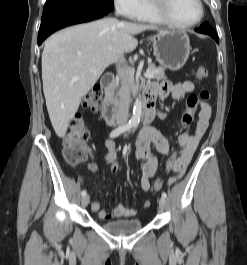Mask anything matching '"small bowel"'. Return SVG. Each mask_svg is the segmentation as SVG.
I'll use <instances>...</instances> for the list:
<instances>
[{
  "label": "small bowel",
  "instance_id": "1",
  "mask_svg": "<svg viewBox=\"0 0 247 265\" xmlns=\"http://www.w3.org/2000/svg\"><path fill=\"white\" fill-rule=\"evenodd\" d=\"M147 87L153 90L156 96H158L160 99H166L169 97L173 99H180L194 90V84L191 81H183L177 84L163 81L161 83H151ZM199 109L200 111L194 125L193 133H182L178 137V143L182 147V150L174 166V172L176 176L170 179V183L174 182L184 174L200 139L208 128L209 119L211 116L210 105L207 102H203L199 105ZM155 114H157V116L160 118L165 117L164 113L158 110H155ZM152 146H154L161 155L165 157L170 155V148L167 138L159 130L153 127H145L139 134L135 157L141 161L139 186L141 190L147 192L152 191L150 180L155 176L158 167V160L151 153ZM106 148L107 153L105 155V160L109 164L110 170L116 172L119 166L115 160V143L111 140H106ZM86 152L90 158L87 168L90 172L95 173L98 170V165L94 161L91 151L86 150ZM148 206L149 202L146 201L143 205V208H147ZM91 209L93 212H97L98 217L101 220H111L120 217H133L137 214V210L126 207L122 204H118L111 212L100 210V204L97 201H94L91 204Z\"/></svg>",
  "mask_w": 247,
  "mask_h": 265
}]
</instances>
